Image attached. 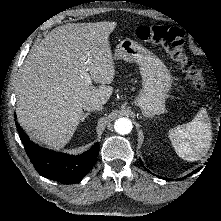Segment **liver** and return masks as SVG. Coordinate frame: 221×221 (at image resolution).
<instances>
[{
    "instance_id": "1",
    "label": "liver",
    "mask_w": 221,
    "mask_h": 221,
    "mask_svg": "<svg viewBox=\"0 0 221 221\" xmlns=\"http://www.w3.org/2000/svg\"><path fill=\"white\" fill-rule=\"evenodd\" d=\"M116 22L68 23L35 45L20 68L16 114L36 141L59 149L73 136L89 100L105 104L116 74L109 36ZM100 83H86L84 73Z\"/></svg>"
}]
</instances>
